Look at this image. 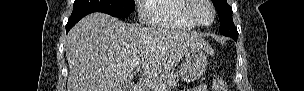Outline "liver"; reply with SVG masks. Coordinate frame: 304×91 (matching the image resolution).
Segmentation results:
<instances>
[{
  "mask_svg": "<svg viewBox=\"0 0 304 91\" xmlns=\"http://www.w3.org/2000/svg\"><path fill=\"white\" fill-rule=\"evenodd\" d=\"M194 48L213 52L201 34L126 24L103 13L81 19L68 33L67 91H125L140 58L144 76L170 72Z\"/></svg>",
  "mask_w": 304,
  "mask_h": 91,
  "instance_id": "obj_1",
  "label": "liver"
}]
</instances>
